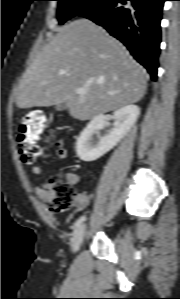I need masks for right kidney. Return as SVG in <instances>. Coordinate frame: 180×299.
Segmentation results:
<instances>
[{"instance_id": "ca27d5eb", "label": "right kidney", "mask_w": 180, "mask_h": 299, "mask_svg": "<svg viewBox=\"0 0 180 299\" xmlns=\"http://www.w3.org/2000/svg\"><path fill=\"white\" fill-rule=\"evenodd\" d=\"M139 115L140 109L136 105H127L116 110L112 117L115 120L114 128L96 144L92 136L106 125L109 117L103 114L94 117L77 139L78 157L85 162H91L106 154L129 132Z\"/></svg>"}]
</instances>
